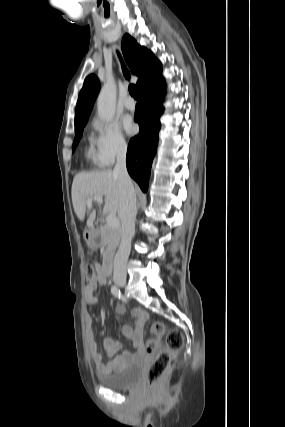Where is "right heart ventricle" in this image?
Returning <instances> with one entry per match:
<instances>
[{"label": "right heart ventricle", "instance_id": "right-heart-ventricle-1", "mask_svg": "<svg viewBox=\"0 0 285 427\" xmlns=\"http://www.w3.org/2000/svg\"><path fill=\"white\" fill-rule=\"evenodd\" d=\"M86 157H87V159H89L90 161H92L95 165H103L100 162V160H99V158H98V156L96 154V151L92 147H88L87 148V150H86Z\"/></svg>", "mask_w": 285, "mask_h": 427}]
</instances>
